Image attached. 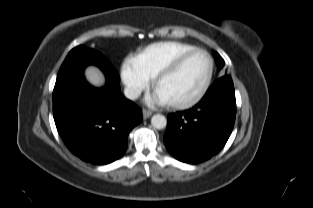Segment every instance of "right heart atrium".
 I'll return each instance as SVG.
<instances>
[{"instance_id":"d8ad5b80","label":"right heart atrium","mask_w":313,"mask_h":208,"mask_svg":"<svg viewBox=\"0 0 313 208\" xmlns=\"http://www.w3.org/2000/svg\"><path fill=\"white\" fill-rule=\"evenodd\" d=\"M122 76L127 90L133 96L141 93L149 86L151 82V78L140 71L134 65L133 60L125 64L123 67Z\"/></svg>"}]
</instances>
